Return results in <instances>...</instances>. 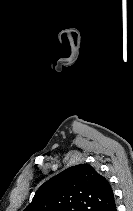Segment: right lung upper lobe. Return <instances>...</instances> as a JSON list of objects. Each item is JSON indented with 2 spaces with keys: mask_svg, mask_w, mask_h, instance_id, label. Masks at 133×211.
Returning a JSON list of instances; mask_svg holds the SVG:
<instances>
[{
  "mask_svg": "<svg viewBox=\"0 0 133 211\" xmlns=\"http://www.w3.org/2000/svg\"><path fill=\"white\" fill-rule=\"evenodd\" d=\"M115 207L108 180L92 166H72L45 182L24 211H111Z\"/></svg>",
  "mask_w": 133,
  "mask_h": 211,
  "instance_id": "obj_1",
  "label": "right lung upper lobe"
}]
</instances>
